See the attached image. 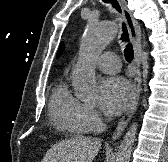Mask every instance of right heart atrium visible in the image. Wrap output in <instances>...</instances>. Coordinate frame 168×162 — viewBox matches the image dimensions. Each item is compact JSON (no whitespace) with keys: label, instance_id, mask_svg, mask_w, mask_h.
Segmentation results:
<instances>
[{"label":"right heart atrium","instance_id":"1","mask_svg":"<svg viewBox=\"0 0 168 162\" xmlns=\"http://www.w3.org/2000/svg\"><path fill=\"white\" fill-rule=\"evenodd\" d=\"M82 117L84 123L90 130H97L102 125L99 113L92 105L89 104L83 105Z\"/></svg>","mask_w":168,"mask_h":162}]
</instances>
